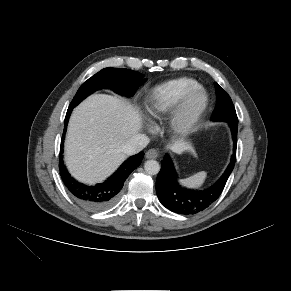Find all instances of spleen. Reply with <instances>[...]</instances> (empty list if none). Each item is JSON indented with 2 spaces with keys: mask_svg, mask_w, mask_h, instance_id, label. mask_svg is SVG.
I'll return each mask as SVG.
<instances>
[{
  "mask_svg": "<svg viewBox=\"0 0 291 291\" xmlns=\"http://www.w3.org/2000/svg\"><path fill=\"white\" fill-rule=\"evenodd\" d=\"M206 176H207L206 172H204V171L198 172V173L182 180L181 183L187 187H190V188H198L203 184Z\"/></svg>",
  "mask_w": 291,
  "mask_h": 291,
  "instance_id": "1",
  "label": "spleen"
}]
</instances>
